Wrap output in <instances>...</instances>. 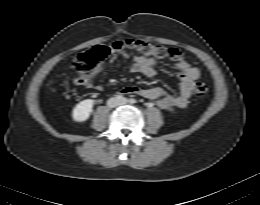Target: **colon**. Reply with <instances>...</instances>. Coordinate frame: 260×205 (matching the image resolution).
<instances>
[{
	"label": "colon",
	"instance_id": "5ec220e1",
	"mask_svg": "<svg viewBox=\"0 0 260 205\" xmlns=\"http://www.w3.org/2000/svg\"><path fill=\"white\" fill-rule=\"evenodd\" d=\"M112 50L134 52L141 56L154 58L156 60H170L179 62L182 59L181 52L176 48H169L161 45H153L143 41L126 40L117 41L112 44ZM109 48L104 45L95 46L83 53L78 54L73 62L75 69L80 73H87L94 70L108 55ZM55 83H51L54 88ZM196 97H205L209 91L207 84L198 82L194 86Z\"/></svg>",
	"mask_w": 260,
	"mask_h": 205
}]
</instances>
